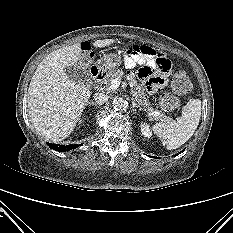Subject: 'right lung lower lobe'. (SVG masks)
I'll return each mask as SVG.
<instances>
[{
  "label": "right lung lower lobe",
  "instance_id": "obj_1",
  "mask_svg": "<svg viewBox=\"0 0 233 233\" xmlns=\"http://www.w3.org/2000/svg\"><path fill=\"white\" fill-rule=\"evenodd\" d=\"M47 145L58 152H66L72 149L77 148L79 145H60V144H52V143H47Z\"/></svg>",
  "mask_w": 233,
  "mask_h": 233
}]
</instances>
